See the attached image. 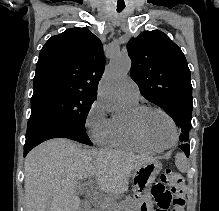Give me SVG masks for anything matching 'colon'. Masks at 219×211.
Here are the masks:
<instances>
[{
  "label": "colon",
  "instance_id": "1",
  "mask_svg": "<svg viewBox=\"0 0 219 211\" xmlns=\"http://www.w3.org/2000/svg\"><path fill=\"white\" fill-rule=\"evenodd\" d=\"M160 182L171 189L172 211H185L187 188L183 176L178 171L168 168L161 173Z\"/></svg>",
  "mask_w": 219,
  "mask_h": 211
}]
</instances>
